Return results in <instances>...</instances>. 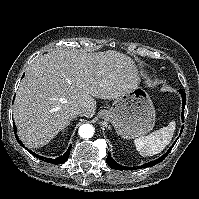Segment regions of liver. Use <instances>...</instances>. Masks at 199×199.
Wrapping results in <instances>:
<instances>
[{
	"mask_svg": "<svg viewBox=\"0 0 199 199\" xmlns=\"http://www.w3.org/2000/svg\"><path fill=\"white\" fill-rule=\"evenodd\" d=\"M133 61L116 51L81 53L53 50L27 69L13 106L21 141L30 148L50 142L85 108L95 114L94 98L115 99L137 86Z\"/></svg>",
	"mask_w": 199,
	"mask_h": 199,
	"instance_id": "6515ba94",
	"label": "liver"
}]
</instances>
